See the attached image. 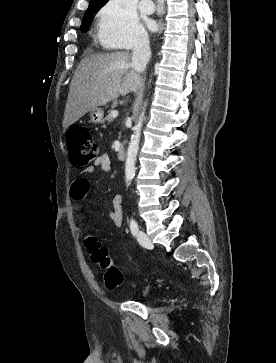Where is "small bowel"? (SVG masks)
Returning a JSON list of instances; mask_svg holds the SVG:
<instances>
[{
    "instance_id": "small-bowel-1",
    "label": "small bowel",
    "mask_w": 276,
    "mask_h": 363,
    "mask_svg": "<svg viewBox=\"0 0 276 363\" xmlns=\"http://www.w3.org/2000/svg\"><path fill=\"white\" fill-rule=\"evenodd\" d=\"M98 168L102 171H108L110 169V159L107 154L99 156L93 165L86 167L79 175L74 177L69 188V194L73 201L81 202L87 197L90 183L85 175L94 172ZM122 200V196L120 194H116L112 199L113 209L108 214L114 226L118 228L122 226L123 222Z\"/></svg>"
}]
</instances>
